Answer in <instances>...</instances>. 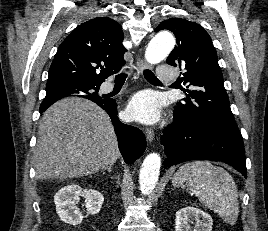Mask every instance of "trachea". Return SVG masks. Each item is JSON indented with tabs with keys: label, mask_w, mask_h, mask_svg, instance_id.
Instances as JSON below:
<instances>
[{
	"label": "trachea",
	"mask_w": 268,
	"mask_h": 231,
	"mask_svg": "<svg viewBox=\"0 0 268 231\" xmlns=\"http://www.w3.org/2000/svg\"><path fill=\"white\" fill-rule=\"evenodd\" d=\"M127 74L126 73H120L116 76V78H126ZM144 77L148 80V81H153V82H159V80L157 79V77L154 75V73L148 69L144 70Z\"/></svg>",
	"instance_id": "trachea-1"
}]
</instances>
